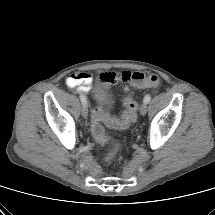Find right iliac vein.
Returning <instances> with one entry per match:
<instances>
[{"label": "right iliac vein", "mask_w": 215, "mask_h": 215, "mask_svg": "<svg viewBox=\"0 0 215 215\" xmlns=\"http://www.w3.org/2000/svg\"><path fill=\"white\" fill-rule=\"evenodd\" d=\"M82 116L84 117V118H87V116H88V108H87V103H85V104H83V106H82Z\"/></svg>", "instance_id": "1"}]
</instances>
